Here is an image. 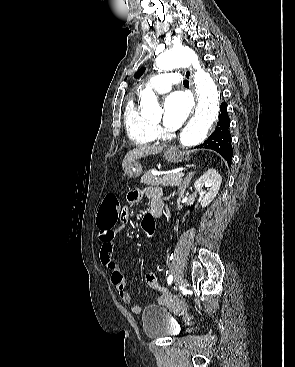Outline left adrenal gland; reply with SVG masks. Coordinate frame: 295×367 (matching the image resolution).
<instances>
[{"label":"left adrenal gland","instance_id":"a2214340","mask_svg":"<svg viewBox=\"0 0 295 367\" xmlns=\"http://www.w3.org/2000/svg\"><path fill=\"white\" fill-rule=\"evenodd\" d=\"M193 175H194V172H190V173L187 175V177H186V179H185L184 183L178 187V189H179L180 191L184 192V190H185V189H186V187L188 186V184H189L190 180L192 179Z\"/></svg>","mask_w":295,"mask_h":367}]
</instances>
